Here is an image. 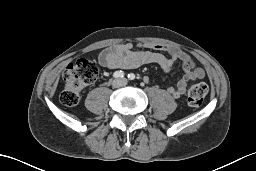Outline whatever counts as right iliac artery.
Listing matches in <instances>:
<instances>
[{
    "label": "right iliac artery",
    "mask_w": 256,
    "mask_h": 171,
    "mask_svg": "<svg viewBox=\"0 0 256 171\" xmlns=\"http://www.w3.org/2000/svg\"><path fill=\"white\" fill-rule=\"evenodd\" d=\"M114 78H123L124 77V72L123 71H116L113 74Z\"/></svg>",
    "instance_id": "82829eb1"
}]
</instances>
